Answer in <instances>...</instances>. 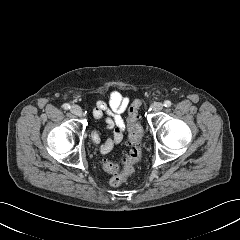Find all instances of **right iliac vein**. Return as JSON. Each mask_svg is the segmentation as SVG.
I'll return each mask as SVG.
<instances>
[{
	"label": "right iliac vein",
	"mask_w": 240,
	"mask_h": 240,
	"mask_svg": "<svg viewBox=\"0 0 240 240\" xmlns=\"http://www.w3.org/2000/svg\"><path fill=\"white\" fill-rule=\"evenodd\" d=\"M71 112L76 116H81L82 115V110L78 105H73L71 107Z\"/></svg>",
	"instance_id": "63e3f726"
}]
</instances>
